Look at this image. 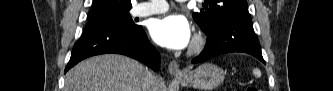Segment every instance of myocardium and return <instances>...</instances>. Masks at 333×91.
<instances>
[{"instance_id":"1","label":"myocardium","mask_w":333,"mask_h":91,"mask_svg":"<svg viewBox=\"0 0 333 91\" xmlns=\"http://www.w3.org/2000/svg\"><path fill=\"white\" fill-rule=\"evenodd\" d=\"M204 46H205V38L200 34L195 35L189 49V54L190 55L199 54L203 50Z\"/></svg>"}]
</instances>
